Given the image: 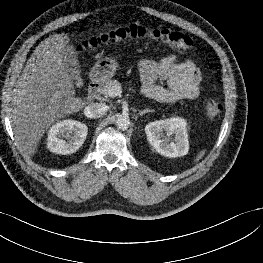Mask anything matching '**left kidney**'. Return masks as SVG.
Returning a JSON list of instances; mask_svg holds the SVG:
<instances>
[{
	"label": "left kidney",
	"mask_w": 263,
	"mask_h": 263,
	"mask_svg": "<svg viewBox=\"0 0 263 263\" xmlns=\"http://www.w3.org/2000/svg\"><path fill=\"white\" fill-rule=\"evenodd\" d=\"M147 140L154 149L165 157H180L188 153L189 142L186 121L182 118H170L154 121L145 126ZM174 141L170 142V136Z\"/></svg>",
	"instance_id": "left-kidney-1"
}]
</instances>
